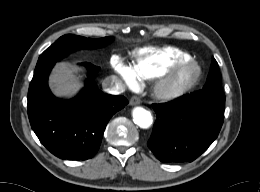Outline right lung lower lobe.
Returning <instances> with one entry per match:
<instances>
[{
    "label": "right lung lower lobe",
    "mask_w": 260,
    "mask_h": 192,
    "mask_svg": "<svg viewBox=\"0 0 260 192\" xmlns=\"http://www.w3.org/2000/svg\"><path fill=\"white\" fill-rule=\"evenodd\" d=\"M55 62L34 71L28 91V116L40 142L61 159L86 160L99 149L110 118L127 103L121 95L104 94L91 78L99 67L84 63L89 79L72 100L55 98L49 90L48 75Z\"/></svg>",
    "instance_id": "right-lung-lower-lobe-1"
}]
</instances>
